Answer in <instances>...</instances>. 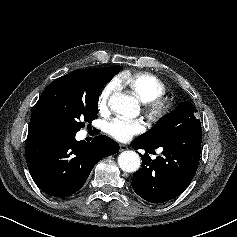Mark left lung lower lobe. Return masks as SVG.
I'll return each instance as SVG.
<instances>
[{"label": "left lung lower lobe", "instance_id": "1", "mask_svg": "<svg viewBox=\"0 0 237 237\" xmlns=\"http://www.w3.org/2000/svg\"><path fill=\"white\" fill-rule=\"evenodd\" d=\"M202 128L195 121L176 139L160 146H151L137 138L134 149L154 152L163 148L162 155L152 160L148 153L141 155L142 166L134 173L132 188L137 195L152 203H164L180 195L192 181L200 159Z\"/></svg>", "mask_w": 237, "mask_h": 237}]
</instances>
